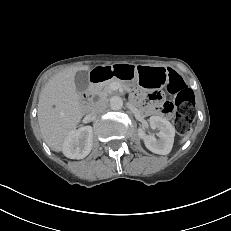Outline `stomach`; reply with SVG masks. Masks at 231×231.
<instances>
[{"mask_svg":"<svg viewBox=\"0 0 231 231\" xmlns=\"http://www.w3.org/2000/svg\"><path fill=\"white\" fill-rule=\"evenodd\" d=\"M128 83L139 82L150 90L162 89L167 82V70L162 66L119 63L113 68Z\"/></svg>","mask_w":231,"mask_h":231,"instance_id":"0dacf381","label":"stomach"}]
</instances>
